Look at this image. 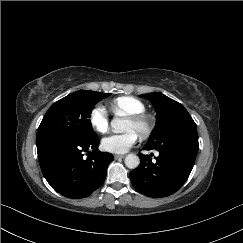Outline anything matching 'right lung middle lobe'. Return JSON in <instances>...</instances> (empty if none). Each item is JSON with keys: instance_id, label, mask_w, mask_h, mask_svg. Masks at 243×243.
<instances>
[{"instance_id": "dd1d6c3e", "label": "right lung middle lobe", "mask_w": 243, "mask_h": 243, "mask_svg": "<svg viewBox=\"0 0 243 243\" xmlns=\"http://www.w3.org/2000/svg\"><path fill=\"white\" fill-rule=\"evenodd\" d=\"M110 94L80 90L55 102L39 125L36 141L46 137H69L77 140L97 138L90 115L93 107Z\"/></svg>"}]
</instances>
